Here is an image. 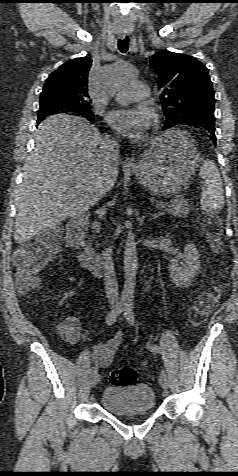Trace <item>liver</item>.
<instances>
[{"mask_svg": "<svg viewBox=\"0 0 238 476\" xmlns=\"http://www.w3.org/2000/svg\"><path fill=\"white\" fill-rule=\"evenodd\" d=\"M35 140L17 195L18 243L84 214L118 177L119 162L106 160L100 132L83 117L50 116L38 126Z\"/></svg>", "mask_w": 238, "mask_h": 476, "instance_id": "obj_1", "label": "liver"}]
</instances>
